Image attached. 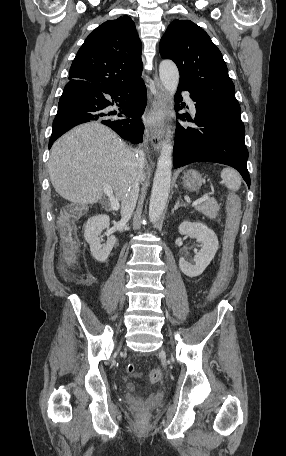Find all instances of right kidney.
<instances>
[{
  "label": "right kidney",
  "mask_w": 286,
  "mask_h": 456,
  "mask_svg": "<svg viewBox=\"0 0 286 456\" xmlns=\"http://www.w3.org/2000/svg\"><path fill=\"white\" fill-rule=\"evenodd\" d=\"M110 218L108 215H96L89 218L85 224L84 237L90 246L92 256L98 262H104L109 257L113 247L116 244V237L111 235L105 244L100 239V234L104 229H108Z\"/></svg>",
  "instance_id": "1"
}]
</instances>
